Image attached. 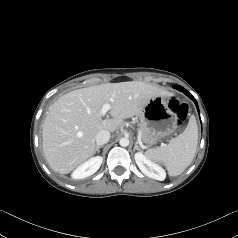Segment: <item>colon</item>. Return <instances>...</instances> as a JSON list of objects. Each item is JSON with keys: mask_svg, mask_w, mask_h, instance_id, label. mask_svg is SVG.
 <instances>
[{"mask_svg": "<svg viewBox=\"0 0 238 238\" xmlns=\"http://www.w3.org/2000/svg\"><path fill=\"white\" fill-rule=\"evenodd\" d=\"M169 107L176 113L179 122L186 119L188 114V107L186 104L180 102L176 98H172L169 102Z\"/></svg>", "mask_w": 238, "mask_h": 238, "instance_id": "1", "label": "colon"}]
</instances>
